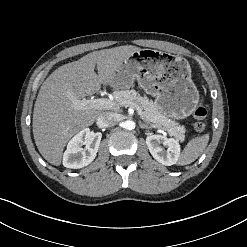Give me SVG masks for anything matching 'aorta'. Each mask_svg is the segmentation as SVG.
Listing matches in <instances>:
<instances>
[{"instance_id": "aorta-1", "label": "aorta", "mask_w": 247, "mask_h": 247, "mask_svg": "<svg viewBox=\"0 0 247 247\" xmlns=\"http://www.w3.org/2000/svg\"><path fill=\"white\" fill-rule=\"evenodd\" d=\"M123 128L133 130L135 128V122L132 120H127L123 123Z\"/></svg>"}]
</instances>
